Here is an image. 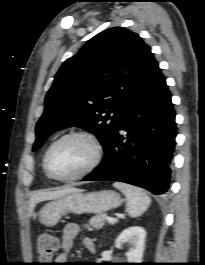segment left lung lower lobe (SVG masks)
Wrapping results in <instances>:
<instances>
[{
    "instance_id": "left-lung-lower-lobe-1",
    "label": "left lung lower lobe",
    "mask_w": 205,
    "mask_h": 265,
    "mask_svg": "<svg viewBox=\"0 0 205 265\" xmlns=\"http://www.w3.org/2000/svg\"><path fill=\"white\" fill-rule=\"evenodd\" d=\"M176 135L171 95L157 63L121 111L102 162L83 180L121 181L166 194Z\"/></svg>"
}]
</instances>
